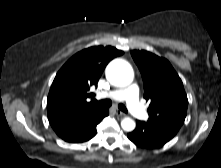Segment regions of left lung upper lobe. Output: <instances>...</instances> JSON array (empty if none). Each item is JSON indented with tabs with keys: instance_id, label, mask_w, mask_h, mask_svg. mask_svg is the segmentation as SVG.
<instances>
[{
	"instance_id": "5c2ea615",
	"label": "left lung upper lobe",
	"mask_w": 221,
	"mask_h": 168,
	"mask_svg": "<svg viewBox=\"0 0 221 168\" xmlns=\"http://www.w3.org/2000/svg\"><path fill=\"white\" fill-rule=\"evenodd\" d=\"M150 101L147 122L176 134L183 125L188 99L183 83L168 60L147 51H132Z\"/></svg>"
}]
</instances>
